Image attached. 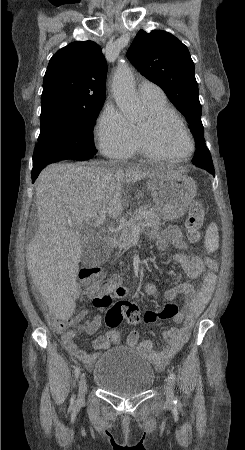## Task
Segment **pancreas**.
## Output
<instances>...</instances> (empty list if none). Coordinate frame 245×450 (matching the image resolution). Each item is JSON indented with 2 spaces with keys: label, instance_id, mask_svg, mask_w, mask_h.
<instances>
[{
  "label": "pancreas",
  "instance_id": "1",
  "mask_svg": "<svg viewBox=\"0 0 245 450\" xmlns=\"http://www.w3.org/2000/svg\"><path fill=\"white\" fill-rule=\"evenodd\" d=\"M136 222L138 227L141 228H159L161 226V219L159 213L151 208L149 205L140 206L136 209L129 219L128 222L124 224L123 230L121 231L119 247L122 249H127L132 242V228L131 224Z\"/></svg>",
  "mask_w": 245,
  "mask_h": 450
}]
</instances>
